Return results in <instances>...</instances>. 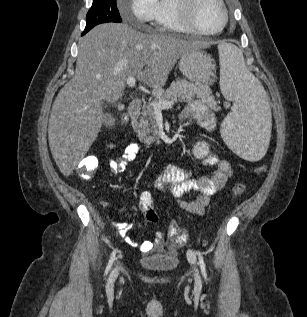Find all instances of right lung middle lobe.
<instances>
[{
	"instance_id": "obj_1",
	"label": "right lung middle lobe",
	"mask_w": 307,
	"mask_h": 317,
	"mask_svg": "<svg viewBox=\"0 0 307 317\" xmlns=\"http://www.w3.org/2000/svg\"><path fill=\"white\" fill-rule=\"evenodd\" d=\"M116 0H93L92 7L86 16V27L82 35L95 25L105 22H121Z\"/></svg>"
}]
</instances>
